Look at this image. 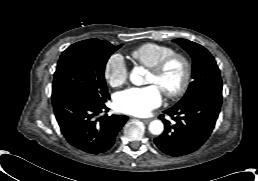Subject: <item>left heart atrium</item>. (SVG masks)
I'll return each mask as SVG.
<instances>
[{"label":"left heart atrium","mask_w":258,"mask_h":181,"mask_svg":"<svg viewBox=\"0 0 258 181\" xmlns=\"http://www.w3.org/2000/svg\"><path fill=\"white\" fill-rule=\"evenodd\" d=\"M162 102L161 89L156 84L142 88H129L119 92L115 106L122 113L146 116Z\"/></svg>","instance_id":"obj_1"}]
</instances>
